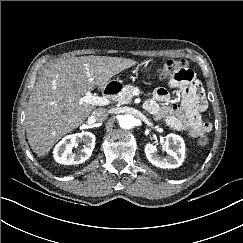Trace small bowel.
Returning <instances> with one entry per match:
<instances>
[{
	"label": "small bowel",
	"mask_w": 243,
	"mask_h": 243,
	"mask_svg": "<svg viewBox=\"0 0 243 243\" xmlns=\"http://www.w3.org/2000/svg\"><path fill=\"white\" fill-rule=\"evenodd\" d=\"M169 87L178 91L179 103H170V93L166 88L155 89L153 96L145 103L146 110L156 120H164L171 128L186 132L191 137H200L211 131V124L202 119L207 101L200 82L194 73L182 80L170 79ZM160 103H164L161 105Z\"/></svg>",
	"instance_id": "c3829d8e"
}]
</instances>
